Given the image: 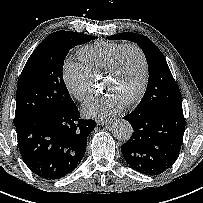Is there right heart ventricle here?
I'll list each match as a JSON object with an SVG mask.
<instances>
[{
  "mask_svg": "<svg viewBox=\"0 0 203 203\" xmlns=\"http://www.w3.org/2000/svg\"><path fill=\"white\" fill-rule=\"evenodd\" d=\"M123 45L118 42H96L80 48L77 55L90 75L97 78Z\"/></svg>",
  "mask_w": 203,
  "mask_h": 203,
  "instance_id": "1",
  "label": "right heart ventricle"
}]
</instances>
